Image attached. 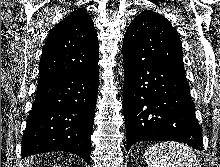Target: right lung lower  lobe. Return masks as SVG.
Listing matches in <instances>:
<instances>
[{"label": "right lung lower lobe", "instance_id": "right-lung-lower-lobe-1", "mask_svg": "<svg viewBox=\"0 0 220 167\" xmlns=\"http://www.w3.org/2000/svg\"><path fill=\"white\" fill-rule=\"evenodd\" d=\"M98 78L96 65L38 85L22 137V158L65 151L89 164Z\"/></svg>", "mask_w": 220, "mask_h": 167}]
</instances>
